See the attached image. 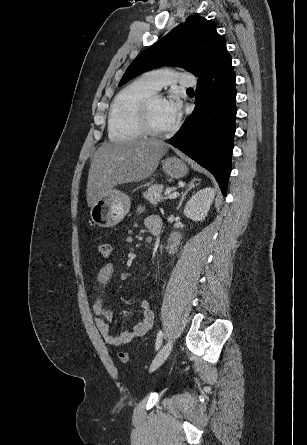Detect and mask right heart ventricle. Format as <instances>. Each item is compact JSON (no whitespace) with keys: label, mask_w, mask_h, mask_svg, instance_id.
Here are the masks:
<instances>
[{"label":"right heart ventricle","mask_w":307,"mask_h":445,"mask_svg":"<svg viewBox=\"0 0 307 445\" xmlns=\"http://www.w3.org/2000/svg\"><path fill=\"white\" fill-rule=\"evenodd\" d=\"M154 92L147 80H139L117 95L108 116L111 140H145L139 107Z\"/></svg>","instance_id":"right-heart-ventricle-1"}]
</instances>
